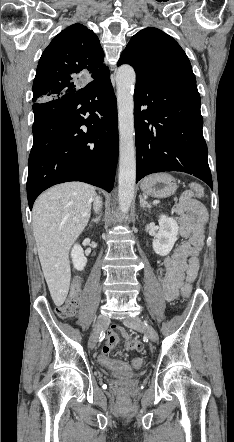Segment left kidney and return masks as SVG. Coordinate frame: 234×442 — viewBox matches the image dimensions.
<instances>
[{
	"label": "left kidney",
	"instance_id": "left-kidney-1",
	"mask_svg": "<svg viewBox=\"0 0 234 442\" xmlns=\"http://www.w3.org/2000/svg\"><path fill=\"white\" fill-rule=\"evenodd\" d=\"M158 222L159 231L153 240L152 246L156 254L166 256L178 239L179 227L175 219L166 215H161Z\"/></svg>",
	"mask_w": 234,
	"mask_h": 442
}]
</instances>
